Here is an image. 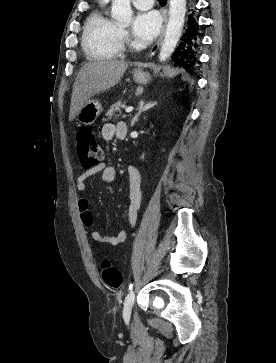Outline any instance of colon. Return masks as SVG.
I'll use <instances>...</instances> for the list:
<instances>
[{
    "label": "colon",
    "mask_w": 276,
    "mask_h": 363,
    "mask_svg": "<svg viewBox=\"0 0 276 363\" xmlns=\"http://www.w3.org/2000/svg\"><path fill=\"white\" fill-rule=\"evenodd\" d=\"M77 155L85 168H93L102 161L103 150L92 131L82 129L77 133ZM88 214V212L84 213V223ZM100 273L108 287L118 289L122 286V274L111 262L104 260L100 266Z\"/></svg>",
    "instance_id": "5ec220e1"
}]
</instances>
